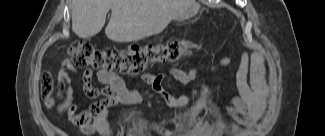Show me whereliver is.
I'll return each mask as SVG.
<instances>
[{
	"mask_svg": "<svg viewBox=\"0 0 325 136\" xmlns=\"http://www.w3.org/2000/svg\"><path fill=\"white\" fill-rule=\"evenodd\" d=\"M109 39L119 43L139 41L161 33L172 21L186 20L197 13L194 0H72V30L82 39L98 34L106 15Z\"/></svg>",
	"mask_w": 325,
	"mask_h": 136,
	"instance_id": "liver-1",
	"label": "liver"
}]
</instances>
